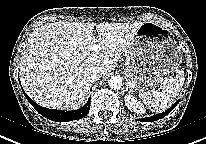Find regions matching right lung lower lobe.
<instances>
[{
    "mask_svg": "<svg viewBox=\"0 0 206 144\" xmlns=\"http://www.w3.org/2000/svg\"><path fill=\"white\" fill-rule=\"evenodd\" d=\"M29 103L45 118L56 122H66L85 117L90 110V98L80 109L74 111H62L56 109H47L35 103L28 95L24 93Z\"/></svg>",
    "mask_w": 206,
    "mask_h": 144,
    "instance_id": "right-lung-lower-lobe-1",
    "label": "right lung lower lobe"
}]
</instances>
